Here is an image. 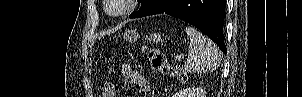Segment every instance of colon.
I'll list each match as a JSON object with an SVG mask.
<instances>
[{
  "label": "colon",
  "instance_id": "5ec220e1",
  "mask_svg": "<svg viewBox=\"0 0 302 97\" xmlns=\"http://www.w3.org/2000/svg\"><path fill=\"white\" fill-rule=\"evenodd\" d=\"M146 52L151 67L169 77L176 78L179 81H185L187 76L185 72L175 63L168 62L164 59L163 55L154 47L150 45H145L143 47ZM116 87L111 82H106L102 86V96L103 97H115Z\"/></svg>",
  "mask_w": 302,
  "mask_h": 97
}]
</instances>
